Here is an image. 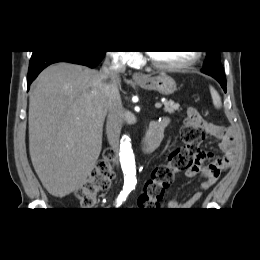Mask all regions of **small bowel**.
<instances>
[{
    "instance_id": "c3829d8e",
    "label": "small bowel",
    "mask_w": 260,
    "mask_h": 260,
    "mask_svg": "<svg viewBox=\"0 0 260 260\" xmlns=\"http://www.w3.org/2000/svg\"><path fill=\"white\" fill-rule=\"evenodd\" d=\"M162 121L168 125L169 119ZM196 123L206 136L215 137L220 140L221 156H215L210 151L200 150L194 159L193 165L185 172L188 178L200 177L203 181L186 199H170L167 207L171 210H187L195 205L203 196L204 192L210 189L218 180L221 173L227 170L234 162L237 153V135L231 127L219 126L204 120L200 114H196ZM138 206L141 208H152L155 205L145 196L138 199Z\"/></svg>"
}]
</instances>
